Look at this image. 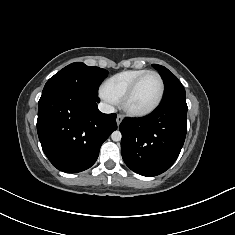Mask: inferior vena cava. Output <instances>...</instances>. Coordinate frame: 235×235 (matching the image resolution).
I'll use <instances>...</instances> for the list:
<instances>
[{"label": "inferior vena cava", "mask_w": 235, "mask_h": 235, "mask_svg": "<svg viewBox=\"0 0 235 235\" xmlns=\"http://www.w3.org/2000/svg\"><path fill=\"white\" fill-rule=\"evenodd\" d=\"M98 108L102 113L106 114L113 113L115 111V108L112 105L103 102L98 104Z\"/></svg>", "instance_id": "inferior-vena-cava-1"}]
</instances>
